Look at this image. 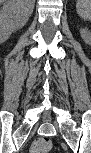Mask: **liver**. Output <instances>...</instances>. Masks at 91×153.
<instances>
[{
  "mask_svg": "<svg viewBox=\"0 0 91 153\" xmlns=\"http://www.w3.org/2000/svg\"><path fill=\"white\" fill-rule=\"evenodd\" d=\"M1 2H3V0H1ZM26 3L30 4L31 6H34V1L33 0H27Z\"/></svg>",
  "mask_w": 91,
  "mask_h": 153,
  "instance_id": "obj_1",
  "label": "liver"
}]
</instances>
